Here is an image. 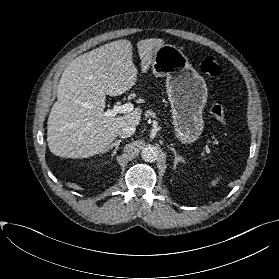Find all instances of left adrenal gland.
I'll return each mask as SVG.
<instances>
[{"label": "left adrenal gland", "instance_id": "obj_1", "mask_svg": "<svg viewBox=\"0 0 279 279\" xmlns=\"http://www.w3.org/2000/svg\"><path fill=\"white\" fill-rule=\"evenodd\" d=\"M169 149H170V150L173 152V154H174V166H173V168L176 169L178 162H184V158H182L181 156H179L174 148L169 147Z\"/></svg>", "mask_w": 279, "mask_h": 279}]
</instances>
